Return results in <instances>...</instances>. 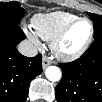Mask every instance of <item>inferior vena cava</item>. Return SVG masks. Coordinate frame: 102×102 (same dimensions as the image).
Listing matches in <instances>:
<instances>
[{"instance_id": "obj_1", "label": "inferior vena cava", "mask_w": 102, "mask_h": 102, "mask_svg": "<svg viewBox=\"0 0 102 102\" xmlns=\"http://www.w3.org/2000/svg\"><path fill=\"white\" fill-rule=\"evenodd\" d=\"M18 51L27 57H34L37 55L36 47L29 40H23L18 45Z\"/></svg>"}]
</instances>
